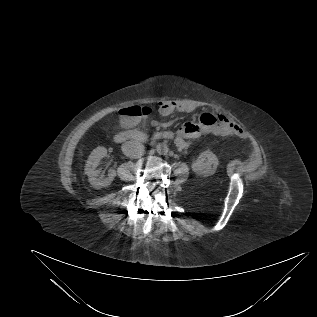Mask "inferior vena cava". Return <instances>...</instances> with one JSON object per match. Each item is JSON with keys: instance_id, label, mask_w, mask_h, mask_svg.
<instances>
[{"instance_id": "602c4592", "label": "inferior vena cava", "mask_w": 317, "mask_h": 317, "mask_svg": "<svg viewBox=\"0 0 317 317\" xmlns=\"http://www.w3.org/2000/svg\"><path fill=\"white\" fill-rule=\"evenodd\" d=\"M124 155L129 158H140L144 154V146L136 140H130L122 144Z\"/></svg>"}]
</instances>
